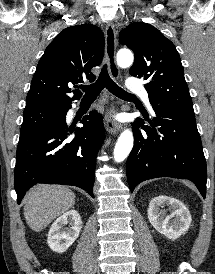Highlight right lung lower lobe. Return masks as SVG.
Instances as JSON below:
<instances>
[{"label": "right lung lower lobe", "mask_w": 215, "mask_h": 274, "mask_svg": "<svg viewBox=\"0 0 215 274\" xmlns=\"http://www.w3.org/2000/svg\"><path fill=\"white\" fill-rule=\"evenodd\" d=\"M61 118L19 140L15 166V190L20 204L26 191L37 183L73 185L93 194L96 156L105 138L101 114L85 116L82 128Z\"/></svg>", "instance_id": "obj_1"}]
</instances>
